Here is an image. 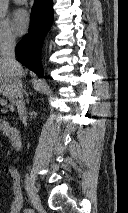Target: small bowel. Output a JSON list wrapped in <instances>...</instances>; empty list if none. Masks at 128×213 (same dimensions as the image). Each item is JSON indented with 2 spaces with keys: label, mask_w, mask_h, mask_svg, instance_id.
Wrapping results in <instances>:
<instances>
[{
  "label": "small bowel",
  "mask_w": 128,
  "mask_h": 213,
  "mask_svg": "<svg viewBox=\"0 0 128 213\" xmlns=\"http://www.w3.org/2000/svg\"><path fill=\"white\" fill-rule=\"evenodd\" d=\"M5 175L10 179L12 196L9 204V213H20L22 209L23 194L20 184V176L16 168L7 166Z\"/></svg>",
  "instance_id": "small-bowel-1"
}]
</instances>
